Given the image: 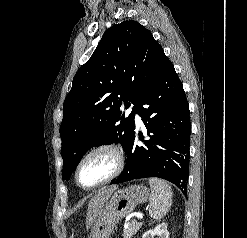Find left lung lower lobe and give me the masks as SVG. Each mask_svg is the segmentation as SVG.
Wrapping results in <instances>:
<instances>
[{"label":"left lung lower lobe","mask_w":247,"mask_h":238,"mask_svg":"<svg viewBox=\"0 0 247 238\" xmlns=\"http://www.w3.org/2000/svg\"><path fill=\"white\" fill-rule=\"evenodd\" d=\"M137 113L150 139L138 146L133 132L125 149V168L112 183L158 177L172 182L185 194L189 175L190 112L182 83L168 58L162 62ZM139 138L142 140L141 135Z\"/></svg>","instance_id":"left-lung-lower-lobe-1"}]
</instances>
